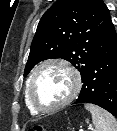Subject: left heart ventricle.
Masks as SVG:
<instances>
[{
  "mask_svg": "<svg viewBox=\"0 0 117 131\" xmlns=\"http://www.w3.org/2000/svg\"><path fill=\"white\" fill-rule=\"evenodd\" d=\"M70 74L58 66L42 69L33 83V94L42 107H52L63 101L71 92Z\"/></svg>",
  "mask_w": 117,
  "mask_h": 131,
  "instance_id": "b2bd125f",
  "label": "left heart ventricle"
}]
</instances>
